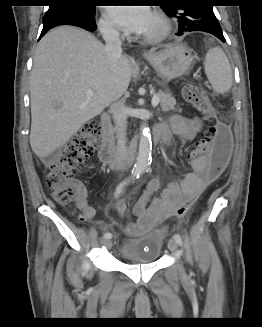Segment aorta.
<instances>
[{"mask_svg":"<svg viewBox=\"0 0 262 327\" xmlns=\"http://www.w3.org/2000/svg\"><path fill=\"white\" fill-rule=\"evenodd\" d=\"M140 131L138 156L132 169V176L134 177L148 169L151 159L152 141L149 128L146 124H142Z\"/></svg>","mask_w":262,"mask_h":327,"instance_id":"1","label":"aorta"}]
</instances>
